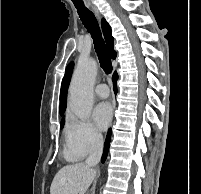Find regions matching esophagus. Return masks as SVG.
I'll list each match as a JSON object with an SVG mask.
<instances>
[{
    "label": "esophagus",
    "instance_id": "1",
    "mask_svg": "<svg viewBox=\"0 0 201 194\" xmlns=\"http://www.w3.org/2000/svg\"><path fill=\"white\" fill-rule=\"evenodd\" d=\"M92 9H93L95 15L97 16V18L100 19V13H99L98 9L95 6H92Z\"/></svg>",
    "mask_w": 201,
    "mask_h": 194
}]
</instances>
